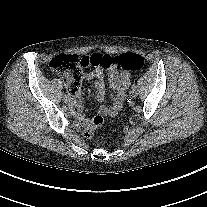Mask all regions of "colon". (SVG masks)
I'll use <instances>...</instances> for the list:
<instances>
[{"mask_svg": "<svg viewBox=\"0 0 207 207\" xmlns=\"http://www.w3.org/2000/svg\"><path fill=\"white\" fill-rule=\"evenodd\" d=\"M143 66V57L136 53L119 55L93 53L83 57L59 55L50 61V68L63 77L69 92L80 88L82 72L86 68L100 67L103 69L117 68L119 70L139 71ZM103 121L102 116H95L91 124L84 130V137L92 138L95 130L102 125Z\"/></svg>", "mask_w": 207, "mask_h": 207, "instance_id": "obj_1", "label": "colon"}]
</instances>
